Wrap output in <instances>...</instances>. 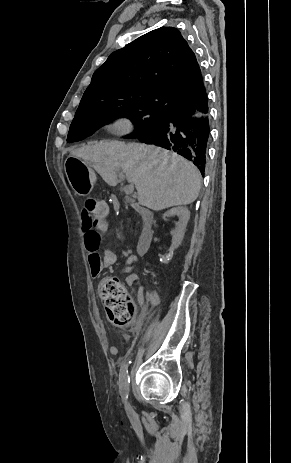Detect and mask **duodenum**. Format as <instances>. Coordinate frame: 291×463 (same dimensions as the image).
Here are the masks:
<instances>
[{"label": "duodenum", "mask_w": 291, "mask_h": 463, "mask_svg": "<svg viewBox=\"0 0 291 463\" xmlns=\"http://www.w3.org/2000/svg\"><path fill=\"white\" fill-rule=\"evenodd\" d=\"M132 209L134 210V213L136 215H141L142 217L143 228L138 240L137 251L139 254H144L149 249L154 236V232L152 229L154 218L152 212L150 210H146L145 205L143 203L133 205Z\"/></svg>", "instance_id": "410a0bca"}]
</instances>
